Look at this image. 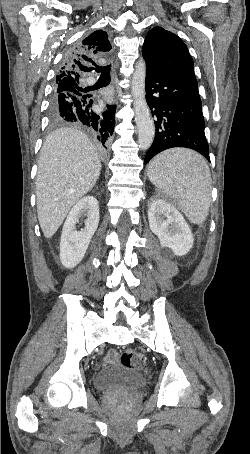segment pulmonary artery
<instances>
[{
	"label": "pulmonary artery",
	"mask_w": 250,
	"mask_h": 454,
	"mask_svg": "<svg viewBox=\"0 0 250 454\" xmlns=\"http://www.w3.org/2000/svg\"><path fill=\"white\" fill-rule=\"evenodd\" d=\"M94 83H95V79H93V78H91V77L87 78L86 84L92 85V84H94Z\"/></svg>",
	"instance_id": "obj_1"
}]
</instances>
